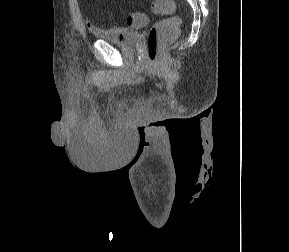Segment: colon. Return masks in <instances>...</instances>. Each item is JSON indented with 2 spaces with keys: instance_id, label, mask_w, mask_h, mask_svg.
<instances>
[{
  "instance_id": "colon-1",
  "label": "colon",
  "mask_w": 289,
  "mask_h": 252,
  "mask_svg": "<svg viewBox=\"0 0 289 252\" xmlns=\"http://www.w3.org/2000/svg\"><path fill=\"white\" fill-rule=\"evenodd\" d=\"M152 9L158 14L171 15L175 11V2L174 0H154ZM126 21L131 26H142L145 18L139 13H134L128 15ZM179 25L180 20L177 17H170L151 26L146 39L147 56L151 63L159 62L164 47L177 37Z\"/></svg>"
}]
</instances>
